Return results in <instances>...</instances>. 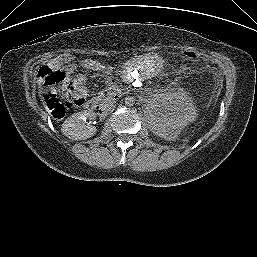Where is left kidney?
Segmentation results:
<instances>
[{
  "label": "left kidney",
  "mask_w": 257,
  "mask_h": 257,
  "mask_svg": "<svg viewBox=\"0 0 257 257\" xmlns=\"http://www.w3.org/2000/svg\"><path fill=\"white\" fill-rule=\"evenodd\" d=\"M147 111L151 129L165 139H175L197 117L191 96L182 89L158 95L150 102Z\"/></svg>",
  "instance_id": "obj_1"
}]
</instances>
